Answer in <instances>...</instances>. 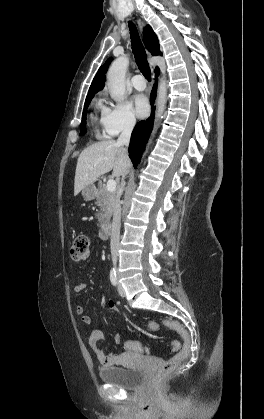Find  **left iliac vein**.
I'll list each match as a JSON object with an SVG mask.
<instances>
[{"mask_svg": "<svg viewBox=\"0 0 264 419\" xmlns=\"http://www.w3.org/2000/svg\"><path fill=\"white\" fill-rule=\"evenodd\" d=\"M118 292H119L120 296H122V297L125 296V291H124V289H123V287L120 283H118Z\"/></svg>", "mask_w": 264, "mask_h": 419, "instance_id": "1", "label": "left iliac vein"}]
</instances>
